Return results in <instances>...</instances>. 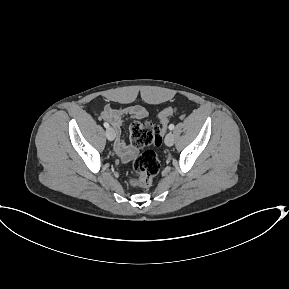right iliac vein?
<instances>
[{
	"label": "right iliac vein",
	"instance_id": "right-iliac-vein-1",
	"mask_svg": "<svg viewBox=\"0 0 289 289\" xmlns=\"http://www.w3.org/2000/svg\"><path fill=\"white\" fill-rule=\"evenodd\" d=\"M115 136H116V134H115L114 129L111 128V127H110V128H107V130H106V137H107V139L110 140V141H112V140L115 139Z\"/></svg>",
	"mask_w": 289,
	"mask_h": 289
}]
</instances>
